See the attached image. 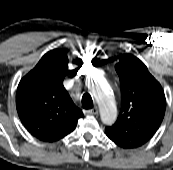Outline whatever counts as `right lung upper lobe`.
Returning a JSON list of instances; mask_svg holds the SVG:
<instances>
[{"label": "right lung upper lobe", "instance_id": "obj_1", "mask_svg": "<svg viewBox=\"0 0 173 170\" xmlns=\"http://www.w3.org/2000/svg\"><path fill=\"white\" fill-rule=\"evenodd\" d=\"M68 57L58 49L46 53L17 88L16 107L25 128L41 141L53 142L71 133L82 111L63 86Z\"/></svg>", "mask_w": 173, "mask_h": 170}]
</instances>
